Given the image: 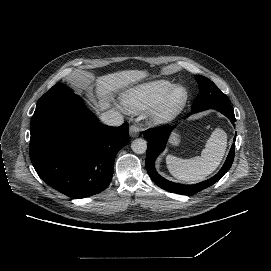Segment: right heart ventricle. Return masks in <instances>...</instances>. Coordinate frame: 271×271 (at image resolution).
Listing matches in <instances>:
<instances>
[{
	"label": "right heart ventricle",
	"instance_id": "obj_1",
	"mask_svg": "<svg viewBox=\"0 0 271 271\" xmlns=\"http://www.w3.org/2000/svg\"><path fill=\"white\" fill-rule=\"evenodd\" d=\"M174 82L155 79L136 86L122 97V105L128 113L137 114L157 107L168 95Z\"/></svg>",
	"mask_w": 271,
	"mask_h": 271
}]
</instances>
